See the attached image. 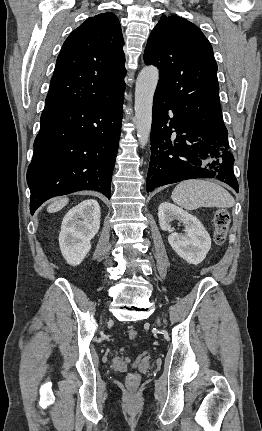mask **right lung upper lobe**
Returning <instances> with one entry per match:
<instances>
[{"instance_id":"cb5924a9","label":"right lung upper lobe","mask_w":262,"mask_h":431,"mask_svg":"<svg viewBox=\"0 0 262 431\" xmlns=\"http://www.w3.org/2000/svg\"><path fill=\"white\" fill-rule=\"evenodd\" d=\"M123 36L111 12L87 19L65 40L46 106L98 104L125 90Z\"/></svg>"}]
</instances>
